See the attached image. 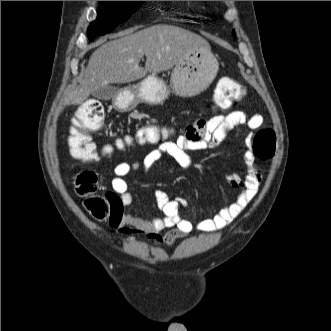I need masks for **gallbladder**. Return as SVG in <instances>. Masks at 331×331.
<instances>
[{
	"mask_svg": "<svg viewBox=\"0 0 331 331\" xmlns=\"http://www.w3.org/2000/svg\"><path fill=\"white\" fill-rule=\"evenodd\" d=\"M116 94H117V88L111 84L102 86V87L96 89L92 93L93 97H95L96 99H99V100H104V101L110 100L111 98L116 96Z\"/></svg>",
	"mask_w": 331,
	"mask_h": 331,
	"instance_id": "obj_1",
	"label": "gallbladder"
}]
</instances>
